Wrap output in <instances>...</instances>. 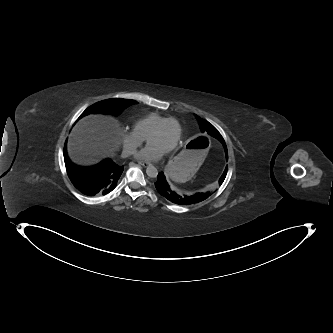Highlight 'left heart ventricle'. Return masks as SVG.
<instances>
[{
  "instance_id": "b2bd125f",
  "label": "left heart ventricle",
  "mask_w": 333,
  "mask_h": 333,
  "mask_svg": "<svg viewBox=\"0 0 333 333\" xmlns=\"http://www.w3.org/2000/svg\"><path fill=\"white\" fill-rule=\"evenodd\" d=\"M178 128L175 123H168L161 133L154 136L150 143L157 145L162 149H168L177 139Z\"/></svg>"
}]
</instances>
